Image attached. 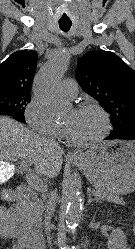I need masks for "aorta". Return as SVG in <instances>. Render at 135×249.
<instances>
[{
    "label": "aorta",
    "mask_w": 135,
    "mask_h": 249,
    "mask_svg": "<svg viewBox=\"0 0 135 249\" xmlns=\"http://www.w3.org/2000/svg\"><path fill=\"white\" fill-rule=\"evenodd\" d=\"M68 65L69 56L61 54L51 60L35 80V98L46 112L53 116H58L64 111L59 82L67 71ZM64 196L66 201V224L68 228H75L81 220L83 207L80 179L73 178L68 182Z\"/></svg>",
    "instance_id": "762f6f07"
}]
</instances>
